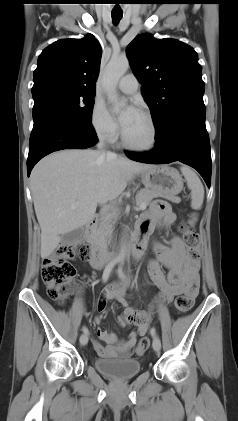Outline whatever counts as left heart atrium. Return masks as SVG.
<instances>
[{
	"instance_id": "39dd6f15",
	"label": "left heart atrium",
	"mask_w": 238,
	"mask_h": 421,
	"mask_svg": "<svg viewBox=\"0 0 238 421\" xmlns=\"http://www.w3.org/2000/svg\"><path fill=\"white\" fill-rule=\"evenodd\" d=\"M136 113L137 110L134 107H128L120 119L122 126H124Z\"/></svg>"
}]
</instances>
